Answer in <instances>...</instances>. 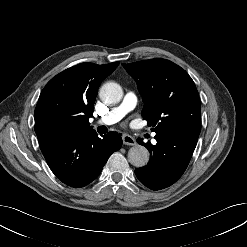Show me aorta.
<instances>
[{
    "label": "aorta",
    "mask_w": 247,
    "mask_h": 247,
    "mask_svg": "<svg viewBox=\"0 0 247 247\" xmlns=\"http://www.w3.org/2000/svg\"><path fill=\"white\" fill-rule=\"evenodd\" d=\"M99 96L107 104H117L123 97L122 87L115 82H107L100 88ZM149 151L141 145H135L128 151V160L135 167H143L149 161Z\"/></svg>",
    "instance_id": "1"
}]
</instances>
